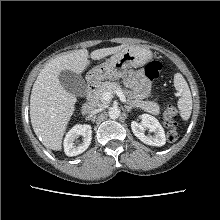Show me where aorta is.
Wrapping results in <instances>:
<instances>
[{
    "label": "aorta",
    "instance_id": "aorta-1",
    "mask_svg": "<svg viewBox=\"0 0 220 220\" xmlns=\"http://www.w3.org/2000/svg\"><path fill=\"white\" fill-rule=\"evenodd\" d=\"M120 109L117 106H113L109 108L108 115L111 119H117L120 116Z\"/></svg>",
    "mask_w": 220,
    "mask_h": 220
}]
</instances>
